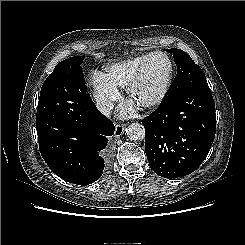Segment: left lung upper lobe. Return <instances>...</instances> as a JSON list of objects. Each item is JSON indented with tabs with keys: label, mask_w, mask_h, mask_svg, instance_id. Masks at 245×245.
<instances>
[{
	"label": "left lung upper lobe",
	"mask_w": 245,
	"mask_h": 245,
	"mask_svg": "<svg viewBox=\"0 0 245 245\" xmlns=\"http://www.w3.org/2000/svg\"><path fill=\"white\" fill-rule=\"evenodd\" d=\"M166 51L173 54L177 65V77L170 87L168 98L190 86L207 82L200 66L195 64L187 53L176 48L167 49Z\"/></svg>",
	"instance_id": "5c2ea615"
}]
</instances>
